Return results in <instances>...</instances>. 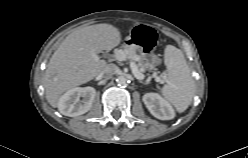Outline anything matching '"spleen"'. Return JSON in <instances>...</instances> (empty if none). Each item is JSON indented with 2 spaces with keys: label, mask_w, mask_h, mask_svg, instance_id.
Masks as SVG:
<instances>
[{
  "label": "spleen",
  "mask_w": 248,
  "mask_h": 158,
  "mask_svg": "<svg viewBox=\"0 0 248 158\" xmlns=\"http://www.w3.org/2000/svg\"><path fill=\"white\" fill-rule=\"evenodd\" d=\"M164 62L167 68V84L161 90L165 100L178 112H184L191 104L195 82L182 51L174 46L165 48Z\"/></svg>",
  "instance_id": "spleen-1"
}]
</instances>
